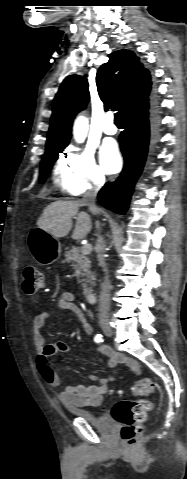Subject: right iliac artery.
<instances>
[{"mask_svg":"<svg viewBox=\"0 0 187 479\" xmlns=\"http://www.w3.org/2000/svg\"><path fill=\"white\" fill-rule=\"evenodd\" d=\"M94 341H95L96 343L103 342L102 335H101V334H97V335L94 337Z\"/></svg>","mask_w":187,"mask_h":479,"instance_id":"82829eb1","label":"right iliac artery"}]
</instances>
